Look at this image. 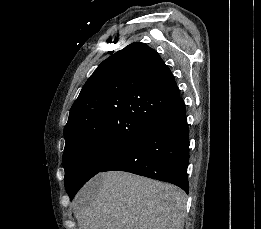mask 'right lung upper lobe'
I'll return each mask as SVG.
<instances>
[{"label": "right lung upper lobe", "mask_w": 261, "mask_h": 229, "mask_svg": "<svg viewBox=\"0 0 261 229\" xmlns=\"http://www.w3.org/2000/svg\"><path fill=\"white\" fill-rule=\"evenodd\" d=\"M179 96L159 54L132 43L104 60L85 83L64 128L65 146L82 140L131 143Z\"/></svg>", "instance_id": "cb5924a9"}]
</instances>
